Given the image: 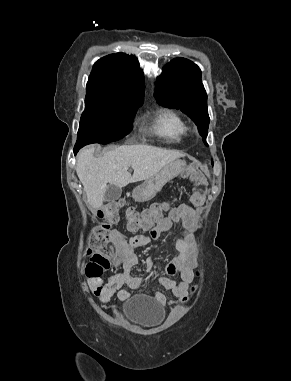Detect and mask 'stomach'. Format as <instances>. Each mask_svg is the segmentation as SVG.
Masks as SVG:
<instances>
[{"mask_svg":"<svg viewBox=\"0 0 291 381\" xmlns=\"http://www.w3.org/2000/svg\"><path fill=\"white\" fill-rule=\"evenodd\" d=\"M186 167L187 164L184 160H174L161 169L157 174L146 179L141 185L137 186L132 192V197L137 202L151 200L162 190L167 182L184 172Z\"/></svg>","mask_w":291,"mask_h":381,"instance_id":"0dacf381","label":"stomach"}]
</instances>
